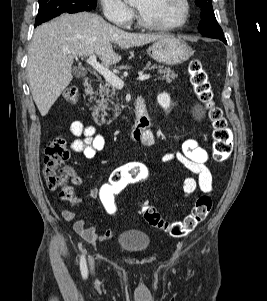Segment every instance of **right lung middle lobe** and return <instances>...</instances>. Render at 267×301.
Instances as JSON below:
<instances>
[{"label": "right lung middle lobe", "instance_id": "1", "mask_svg": "<svg viewBox=\"0 0 267 301\" xmlns=\"http://www.w3.org/2000/svg\"><path fill=\"white\" fill-rule=\"evenodd\" d=\"M96 0H39L35 26L46 22L61 13H76L95 9Z\"/></svg>", "mask_w": 267, "mask_h": 301}]
</instances>
